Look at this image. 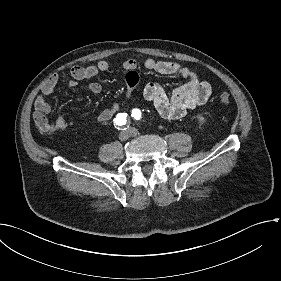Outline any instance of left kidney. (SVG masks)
<instances>
[{
  "mask_svg": "<svg viewBox=\"0 0 281 281\" xmlns=\"http://www.w3.org/2000/svg\"><path fill=\"white\" fill-rule=\"evenodd\" d=\"M199 119H200V121H204V118H203V117H200Z\"/></svg>",
  "mask_w": 281,
  "mask_h": 281,
  "instance_id": "1",
  "label": "left kidney"
}]
</instances>
